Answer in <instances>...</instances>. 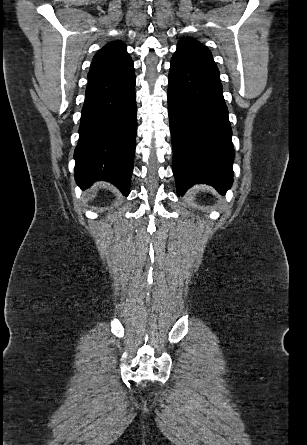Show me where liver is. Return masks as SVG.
I'll return each instance as SVG.
<instances>
[{
	"label": "liver",
	"mask_w": 307,
	"mask_h": 445,
	"mask_svg": "<svg viewBox=\"0 0 307 445\" xmlns=\"http://www.w3.org/2000/svg\"><path fill=\"white\" fill-rule=\"evenodd\" d=\"M86 194H87V192H86ZM95 196H96V190H95V192H93V194H89L88 198H90V200H93V198H95Z\"/></svg>",
	"instance_id": "obj_1"
}]
</instances>
